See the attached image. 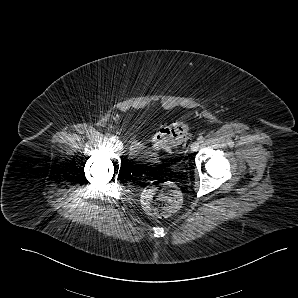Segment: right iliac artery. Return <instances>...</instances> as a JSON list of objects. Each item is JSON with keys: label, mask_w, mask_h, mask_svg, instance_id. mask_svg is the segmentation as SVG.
Returning a JSON list of instances; mask_svg holds the SVG:
<instances>
[{"label": "right iliac artery", "mask_w": 298, "mask_h": 298, "mask_svg": "<svg viewBox=\"0 0 298 298\" xmlns=\"http://www.w3.org/2000/svg\"><path fill=\"white\" fill-rule=\"evenodd\" d=\"M110 140H111L112 142H115L117 139H116L115 136H112V137H110Z\"/></svg>", "instance_id": "right-iliac-artery-1"}]
</instances>
